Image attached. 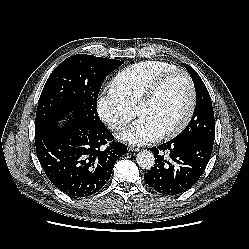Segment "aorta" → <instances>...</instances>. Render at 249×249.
<instances>
[{"instance_id":"762f6f07","label":"aorta","mask_w":249,"mask_h":249,"mask_svg":"<svg viewBox=\"0 0 249 249\" xmlns=\"http://www.w3.org/2000/svg\"><path fill=\"white\" fill-rule=\"evenodd\" d=\"M137 164L145 170H150L155 164V157L152 152L143 150L137 154Z\"/></svg>"}]
</instances>
